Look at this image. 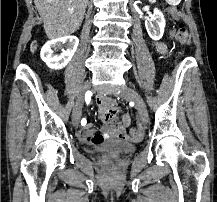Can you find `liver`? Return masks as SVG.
<instances>
[{
    "label": "liver",
    "mask_w": 217,
    "mask_h": 202,
    "mask_svg": "<svg viewBox=\"0 0 217 202\" xmlns=\"http://www.w3.org/2000/svg\"><path fill=\"white\" fill-rule=\"evenodd\" d=\"M49 40L69 36L79 30L88 0H34Z\"/></svg>",
    "instance_id": "6515ba94"
}]
</instances>
